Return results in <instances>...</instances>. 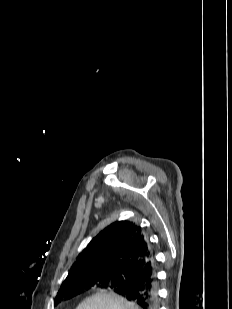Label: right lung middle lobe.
Instances as JSON below:
<instances>
[{"label": "right lung middle lobe", "mask_w": 232, "mask_h": 309, "mask_svg": "<svg viewBox=\"0 0 232 309\" xmlns=\"http://www.w3.org/2000/svg\"><path fill=\"white\" fill-rule=\"evenodd\" d=\"M126 281L127 279L123 274L112 271H88L77 274L68 281L63 282L55 298V305L62 300L70 299L92 287H108L111 283L118 285Z\"/></svg>", "instance_id": "right-lung-middle-lobe-1"}]
</instances>
